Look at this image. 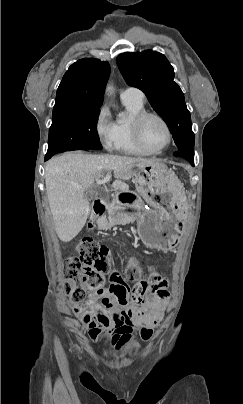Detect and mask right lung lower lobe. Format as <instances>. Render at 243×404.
Listing matches in <instances>:
<instances>
[{
  "instance_id": "98d812e1",
  "label": "right lung lower lobe",
  "mask_w": 243,
  "mask_h": 404,
  "mask_svg": "<svg viewBox=\"0 0 243 404\" xmlns=\"http://www.w3.org/2000/svg\"><path fill=\"white\" fill-rule=\"evenodd\" d=\"M82 150H84V151H91L90 149H82Z\"/></svg>"
}]
</instances>
